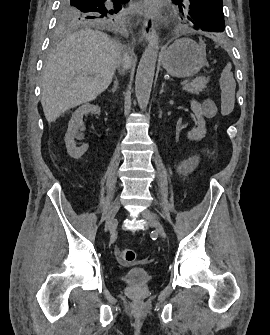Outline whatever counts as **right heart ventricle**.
<instances>
[{
  "instance_id": "right-heart-ventricle-1",
  "label": "right heart ventricle",
  "mask_w": 270,
  "mask_h": 335,
  "mask_svg": "<svg viewBox=\"0 0 270 335\" xmlns=\"http://www.w3.org/2000/svg\"><path fill=\"white\" fill-rule=\"evenodd\" d=\"M136 78H143V77H136V74H135V77H134L135 82H136Z\"/></svg>"
}]
</instances>
